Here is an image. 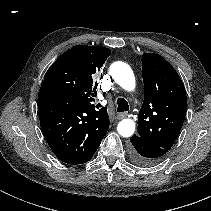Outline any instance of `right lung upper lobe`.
Instances as JSON below:
<instances>
[{"instance_id": "cb5924a9", "label": "right lung upper lobe", "mask_w": 211, "mask_h": 211, "mask_svg": "<svg viewBox=\"0 0 211 211\" xmlns=\"http://www.w3.org/2000/svg\"><path fill=\"white\" fill-rule=\"evenodd\" d=\"M110 55L111 51L102 46H74L50 66L41 87L68 94L90 113L108 119L107 107L97 111L92 101L97 95L95 77Z\"/></svg>"}]
</instances>
